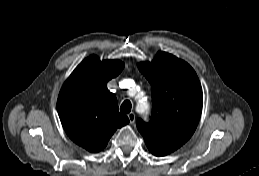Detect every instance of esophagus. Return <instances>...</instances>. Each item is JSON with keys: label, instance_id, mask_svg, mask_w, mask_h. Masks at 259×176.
Here are the masks:
<instances>
[{"label": "esophagus", "instance_id": "esophagus-1", "mask_svg": "<svg viewBox=\"0 0 259 176\" xmlns=\"http://www.w3.org/2000/svg\"><path fill=\"white\" fill-rule=\"evenodd\" d=\"M128 118L131 124L135 122V114L133 112L128 114Z\"/></svg>", "mask_w": 259, "mask_h": 176}]
</instances>
